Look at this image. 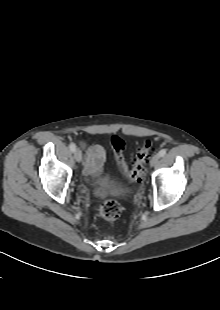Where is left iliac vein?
Instances as JSON below:
<instances>
[{"mask_svg": "<svg viewBox=\"0 0 220 310\" xmlns=\"http://www.w3.org/2000/svg\"><path fill=\"white\" fill-rule=\"evenodd\" d=\"M159 159H160L159 154H155V155L151 158V160H150V166H151V167L156 166V165L158 164V162H159Z\"/></svg>", "mask_w": 220, "mask_h": 310, "instance_id": "obj_1", "label": "left iliac vein"}]
</instances>
